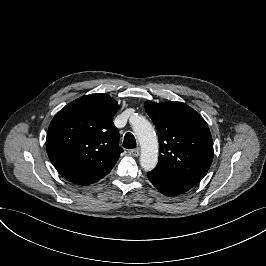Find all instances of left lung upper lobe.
Instances as JSON below:
<instances>
[{
	"mask_svg": "<svg viewBox=\"0 0 266 266\" xmlns=\"http://www.w3.org/2000/svg\"><path fill=\"white\" fill-rule=\"evenodd\" d=\"M144 106L159 138V161L153 171L193 187L213 160V141L206 122L182 102L146 101Z\"/></svg>",
	"mask_w": 266,
	"mask_h": 266,
	"instance_id": "5c2ea615",
	"label": "left lung upper lobe"
}]
</instances>
